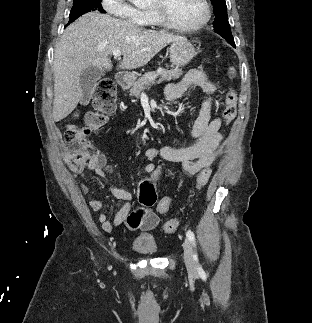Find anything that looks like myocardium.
I'll list each match as a JSON object with an SVG mask.
<instances>
[{
  "mask_svg": "<svg viewBox=\"0 0 312 323\" xmlns=\"http://www.w3.org/2000/svg\"><path fill=\"white\" fill-rule=\"evenodd\" d=\"M198 3L202 6V16L199 20H172L170 13L165 12L166 5L161 3L156 9L160 25H169V31H202V27L211 20L213 12L209 0H198Z\"/></svg>",
  "mask_w": 312,
  "mask_h": 323,
  "instance_id": "1",
  "label": "myocardium"
}]
</instances>
